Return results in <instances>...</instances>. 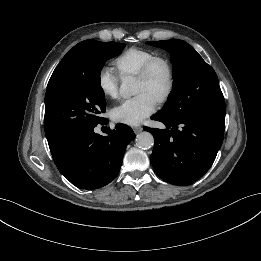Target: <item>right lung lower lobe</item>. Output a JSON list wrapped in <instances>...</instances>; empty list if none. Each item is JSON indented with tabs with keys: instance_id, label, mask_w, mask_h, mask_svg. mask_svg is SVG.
Listing matches in <instances>:
<instances>
[{
	"instance_id": "1",
	"label": "right lung lower lobe",
	"mask_w": 261,
	"mask_h": 261,
	"mask_svg": "<svg viewBox=\"0 0 261 261\" xmlns=\"http://www.w3.org/2000/svg\"><path fill=\"white\" fill-rule=\"evenodd\" d=\"M107 122L105 119L100 124ZM96 126L76 131L50 148L59 171L81 189H97L110 183L118 175L125 149L135 137L125 124H117L107 136L96 134Z\"/></svg>"
}]
</instances>
